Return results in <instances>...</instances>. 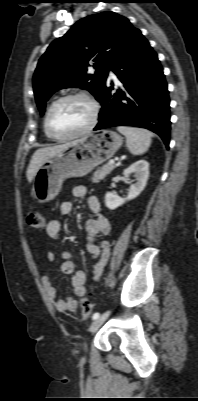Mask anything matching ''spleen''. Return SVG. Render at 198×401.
Instances as JSON below:
<instances>
[{
	"label": "spleen",
	"mask_w": 198,
	"mask_h": 401,
	"mask_svg": "<svg viewBox=\"0 0 198 401\" xmlns=\"http://www.w3.org/2000/svg\"><path fill=\"white\" fill-rule=\"evenodd\" d=\"M117 130L126 137V145L133 155H142L150 147L153 133L146 129L119 126Z\"/></svg>",
	"instance_id": "3e777b00"
}]
</instances>
